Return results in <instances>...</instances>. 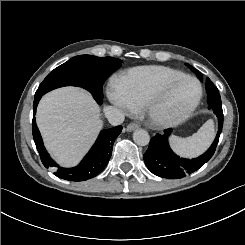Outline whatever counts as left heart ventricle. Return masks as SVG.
Masks as SVG:
<instances>
[{"instance_id":"1","label":"left heart ventricle","mask_w":245,"mask_h":245,"mask_svg":"<svg viewBox=\"0 0 245 245\" xmlns=\"http://www.w3.org/2000/svg\"><path fill=\"white\" fill-rule=\"evenodd\" d=\"M197 95V86L189 80L178 82L159 94L162 107L170 112L178 113L188 108Z\"/></svg>"}]
</instances>
